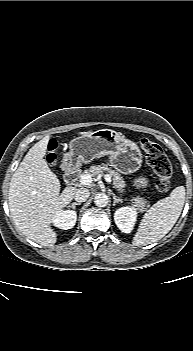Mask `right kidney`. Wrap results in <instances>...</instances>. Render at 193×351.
Here are the masks:
<instances>
[{"mask_svg":"<svg viewBox=\"0 0 193 351\" xmlns=\"http://www.w3.org/2000/svg\"><path fill=\"white\" fill-rule=\"evenodd\" d=\"M76 220L75 211L61 210L53 216L52 223L60 229L68 230L74 227Z\"/></svg>","mask_w":193,"mask_h":351,"instance_id":"ca27d5eb","label":"right kidney"}]
</instances>
